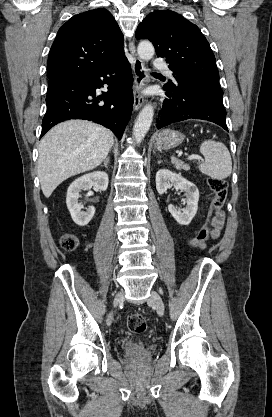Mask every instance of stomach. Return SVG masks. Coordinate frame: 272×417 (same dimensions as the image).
<instances>
[{
    "label": "stomach",
    "instance_id": "obj_1",
    "mask_svg": "<svg viewBox=\"0 0 272 417\" xmlns=\"http://www.w3.org/2000/svg\"><path fill=\"white\" fill-rule=\"evenodd\" d=\"M184 138V135L179 131L165 129L157 134L154 145L160 150L172 149L179 146Z\"/></svg>",
    "mask_w": 272,
    "mask_h": 417
}]
</instances>
